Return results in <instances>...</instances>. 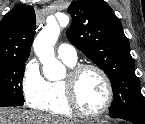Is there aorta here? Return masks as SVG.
<instances>
[{"label": "aorta", "instance_id": "aorta-1", "mask_svg": "<svg viewBox=\"0 0 145 124\" xmlns=\"http://www.w3.org/2000/svg\"><path fill=\"white\" fill-rule=\"evenodd\" d=\"M60 27L53 16L47 18L46 26L36 36L33 46L35 54L43 65L44 77L50 81L64 78L66 71L56 59L53 46L58 40Z\"/></svg>", "mask_w": 145, "mask_h": 124}]
</instances>
